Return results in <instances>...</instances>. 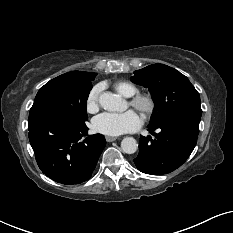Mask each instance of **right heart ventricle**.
<instances>
[{"label": "right heart ventricle", "instance_id": "right-heart-ventricle-1", "mask_svg": "<svg viewBox=\"0 0 233 233\" xmlns=\"http://www.w3.org/2000/svg\"><path fill=\"white\" fill-rule=\"evenodd\" d=\"M114 89L122 96L124 97H132L133 95H135L138 92V88L130 83V82H126V81H120L114 84Z\"/></svg>", "mask_w": 233, "mask_h": 233}]
</instances>
